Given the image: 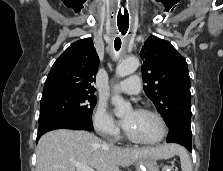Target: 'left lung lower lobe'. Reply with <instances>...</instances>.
<instances>
[{"mask_svg": "<svg viewBox=\"0 0 223 171\" xmlns=\"http://www.w3.org/2000/svg\"><path fill=\"white\" fill-rule=\"evenodd\" d=\"M191 135V129H187L182 125H174L170 127V132L166 141L167 143L180 144L192 152Z\"/></svg>", "mask_w": 223, "mask_h": 171, "instance_id": "1", "label": "left lung lower lobe"}]
</instances>
